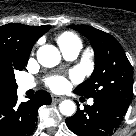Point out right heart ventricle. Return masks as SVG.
<instances>
[{
	"label": "right heart ventricle",
	"instance_id": "right-heart-ventricle-1",
	"mask_svg": "<svg viewBox=\"0 0 136 136\" xmlns=\"http://www.w3.org/2000/svg\"><path fill=\"white\" fill-rule=\"evenodd\" d=\"M58 43L60 48H67L71 46L81 47L80 39L71 32H64L58 37Z\"/></svg>",
	"mask_w": 136,
	"mask_h": 136
}]
</instances>
